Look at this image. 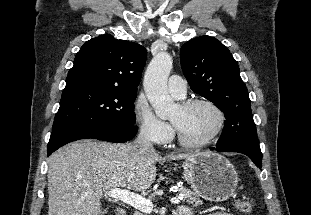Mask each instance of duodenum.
<instances>
[{"instance_id": "obj_1", "label": "duodenum", "mask_w": 311, "mask_h": 215, "mask_svg": "<svg viewBox=\"0 0 311 215\" xmlns=\"http://www.w3.org/2000/svg\"><path fill=\"white\" fill-rule=\"evenodd\" d=\"M117 215H128L124 210H119ZM178 215V213H176Z\"/></svg>"}]
</instances>
